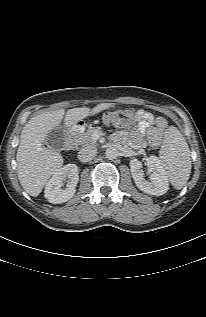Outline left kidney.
Segmentation results:
<instances>
[{
	"instance_id": "left-kidney-1",
	"label": "left kidney",
	"mask_w": 206,
	"mask_h": 317,
	"mask_svg": "<svg viewBox=\"0 0 206 317\" xmlns=\"http://www.w3.org/2000/svg\"><path fill=\"white\" fill-rule=\"evenodd\" d=\"M146 165L151 172L150 181L144 178L142 163L138 159L130 161V170L136 186L143 192L160 196L169 189L168 177L161 161L156 156L147 158Z\"/></svg>"
}]
</instances>
